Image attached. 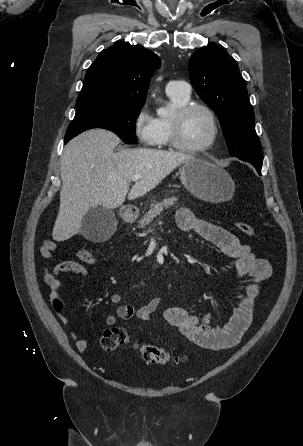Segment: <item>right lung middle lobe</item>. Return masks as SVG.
Listing matches in <instances>:
<instances>
[{
    "instance_id": "dd1d6c3e",
    "label": "right lung middle lobe",
    "mask_w": 303,
    "mask_h": 446,
    "mask_svg": "<svg viewBox=\"0 0 303 446\" xmlns=\"http://www.w3.org/2000/svg\"><path fill=\"white\" fill-rule=\"evenodd\" d=\"M142 106L118 103H94L76 106V114L65 134V144L87 129L113 131L125 143L136 142L135 123Z\"/></svg>"
}]
</instances>
